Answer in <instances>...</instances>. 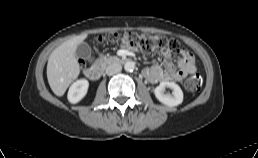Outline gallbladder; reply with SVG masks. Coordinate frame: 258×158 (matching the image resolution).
I'll return each instance as SVG.
<instances>
[{
    "label": "gallbladder",
    "instance_id": "1",
    "mask_svg": "<svg viewBox=\"0 0 258 158\" xmlns=\"http://www.w3.org/2000/svg\"><path fill=\"white\" fill-rule=\"evenodd\" d=\"M76 57L83 60H88L91 55V48L86 42H82L77 46Z\"/></svg>",
    "mask_w": 258,
    "mask_h": 158
}]
</instances>
